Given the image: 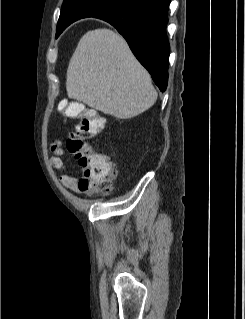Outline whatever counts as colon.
Returning <instances> with one entry per match:
<instances>
[{
	"label": "colon",
	"mask_w": 245,
	"mask_h": 319,
	"mask_svg": "<svg viewBox=\"0 0 245 319\" xmlns=\"http://www.w3.org/2000/svg\"><path fill=\"white\" fill-rule=\"evenodd\" d=\"M60 110L66 117L77 118L74 130L69 134L67 150L78 162L82 176L79 189L85 194L108 193L117 175L115 165L109 159L90 148L86 140L103 132L105 120L95 111L84 109L75 101H63Z\"/></svg>",
	"instance_id": "1"
}]
</instances>
